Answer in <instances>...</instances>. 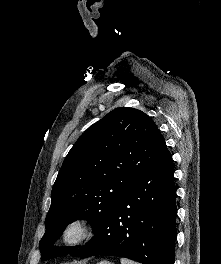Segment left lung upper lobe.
<instances>
[{
	"label": "left lung upper lobe",
	"mask_w": 221,
	"mask_h": 264,
	"mask_svg": "<svg viewBox=\"0 0 221 264\" xmlns=\"http://www.w3.org/2000/svg\"><path fill=\"white\" fill-rule=\"evenodd\" d=\"M165 149L153 120L137 109L117 108L90 126L70 149L53 185L42 259L76 251L79 246H54L66 226L86 219L95 231Z\"/></svg>",
	"instance_id": "1"
}]
</instances>
